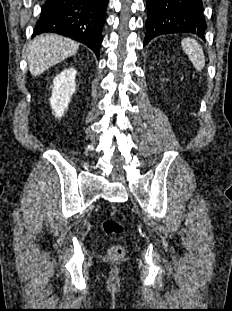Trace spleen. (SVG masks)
<instances>
[{
    "instance_id": "1",
    "label": "spleen",
    "mask_w": 232,
    "mask_h": 311,
    "mask_svg": "<svg viewBox=\"0 0 232 311\" xmlns=\"http://www.w3.org/2000/svg\"><path fill=\"white\" fill-rule=\"evenodd\" d=\"M181 45L196 70L201 71L205 65V56L201 45L192 38L183 39Z\"/></svg>"
}]
</instances>
